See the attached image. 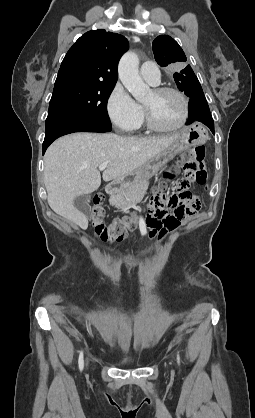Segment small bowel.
<instances>
[{
  "mask_svg": "<svg viewBox=\"0 0 255 418\" xmlns=\"http://www.w3.org/2000/svg\"><path fill=\"white\" fill-rule=\"evenodd\" d=\"M170 178H171V176H168L167 177V179H170ZM180 222L181 221H178L176 223V225L174 227H172L170 230L175 229L180 224ZM165 239H166L165 236H160V241H165ZM151 241H156V236H151ZM148 246L149 247H153L154 246V243L153 242H149L148 243ZM145 254L146 255H157L158 254V249L157 248H146L145 249Z\"/></svg>",
  "mask_w": 255,
  "mask_h": 418,
  "instance_id": "c3829d8e",
  "label": "small bowel"
}]
</instances>
